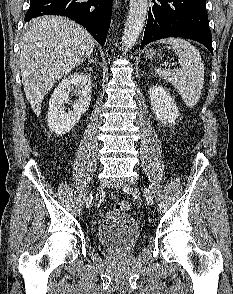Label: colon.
Returning <instances> with one entry per match:
<instances>
[{
  "label": "colon",
  "instance_id": "obj_1",
  "mask_svg": "<svg viewBox=\"0 0 233 294\" xmlns=\"http://www.w3.org/2000/svg\"><path fill=\"white\" fill-rule=\"evenodd\" d=\"M131 208V204L128 201H120L115 205L117 211H128Z\"/></svg>",
  "mask_w": 233,
  "mask_h": 294
}]
</instances>
